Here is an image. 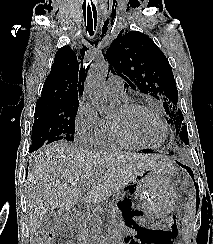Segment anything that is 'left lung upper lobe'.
Listing matches in <instances>:
<instances>
[{"label": "left lung upper lobe", "mask_w": 213, "mask_h": 244, "mask_svg": "<svg viewBox=\"0 0 213 244\" xmlns=\"http://www.w3.org/2000/svg\"><path fill=\"white\" fill-rule=\"evenodd\" d=\"M104 58L110 63L111 72L122 77L126 85L163 104L168 124L188 144L184 117L177 107L178 92L172 68L153 40L139 31L122 30Z\"/></svg>", "instance_id": "obj_1"}]
</instances>
